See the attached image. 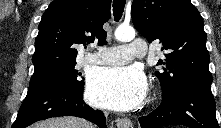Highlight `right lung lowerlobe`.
<instances>
[{
    "mask_svg": "<svg viewBox=\"0 0 221 128\" xmlns=\"http://www.w3.org/2000/svg\"><path fill=\"white\" fill-rule=\"evenodd\" d=\"M82 97L83 90L63 84H52L29 91L12 128H25L39 120L58 116L85 118L106 128L102 111L85 104Z\"/></svg>",
    "mask_w": 221,
    "mask_h": 128,
    "instance_id": "1",
    "label": "right lung lower lobe"
}]
</instances>
